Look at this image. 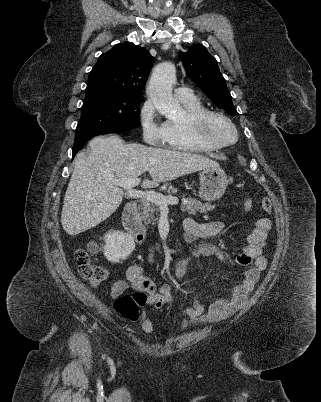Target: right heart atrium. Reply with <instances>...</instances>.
Returning a JSON list of instances; mask_svg holds the SVG:
<instances>
[{
  "instance_id": "right-heart-atrium-1",
  "label": "right heart atrium",
  "mask_w": 321,
  "mask_h": 402,
  "mask_svg": "<svg viewBox=\"0 0 321 402\" xmlns=\"http://www.w3.org/2000/svg\"><path fill=\"white\" fill-rule=\"evenodd\" d=\"M139 123L145 142L160 145L165 140L164 122L159 120L158 112L149 100L145 101L139 112Z\"/></svg>"
}]
</instances>
